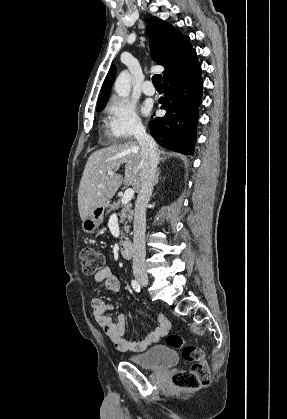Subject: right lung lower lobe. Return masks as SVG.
Here are the masks:
<instances>
[{"label": "right lung lower lobe", "instance_id": "1", "mask_svg": "<svg viewBox=\"0 0 287 419\" xmlns=\"http://www.w3.org/2000/svg\"><path fill=\"white\" fill-rule=\"evenodd\" d=\"M202 87L200 65L163 81L164 96L159 103L166 114L149 124L151 135L161 146L186 155L194 153Z\"/></svg>", "mask_w": 287, "mask_h": 419}]
</instances>
